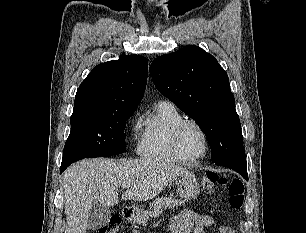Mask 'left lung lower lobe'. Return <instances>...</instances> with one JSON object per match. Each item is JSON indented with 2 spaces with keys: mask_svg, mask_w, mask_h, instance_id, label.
Returning a JSON list of instances; mask_svg holds the SVG:
<instances>
[{
  "mask_svg": "<svg viewBox=\"0 0 306 233\" xmlns=\"http://www.w3.org/2000/svg\"><path fill=\"white\" fill-rule=\"evenodd\" d=\"M223 166L235 170L236 172L240 173L246 179L248 178L247 177V166H246V163L225 164Z\"/></svg>",
  "mask_w": 306,
  "mask_h": 233,
  "instance_id": "0a47b994",
  "label": "left lung lower lobe"
}]
</instances>
